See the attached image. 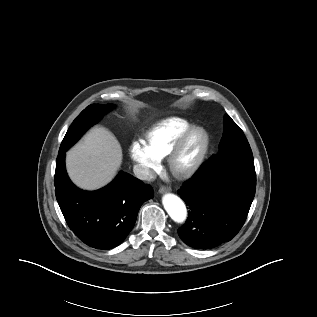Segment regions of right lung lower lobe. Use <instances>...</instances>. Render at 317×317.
Wrapping results in <instances>:
<instances>
[{"mask_svg": "<svg viewBox=\"0 0 317 317\" xmlns=\"http://www.w3.org/2000/svg\"><path fill=\"white\" fill-rule=\"evenodd\" d=\"M65 152L59 150L54 182L56 198L68 226L95 249L118 246L132 230L143 202L153 197L152 187L121 172L102 189L81 190L66 173Z\"/></svg>", "mask_w": 317, "mask_h": 317, "instance_id": "98d812e1", "label": "right lung lower lobe"}]
</instances>
